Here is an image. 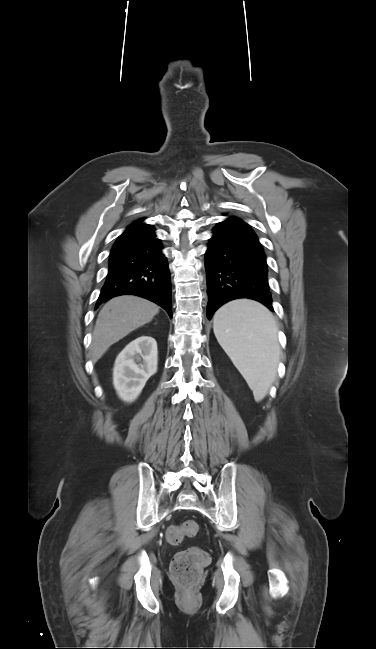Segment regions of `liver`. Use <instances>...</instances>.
Here are the masks:
<instances>
[{
    "mask_svg": "<svg viewBox=\"0 0 376 649\" xmlns=\"http://www.w3.org/2000/svg\"><path fill=\"white\" fill-rule=\"evenodd\" d=\"M158 312L157 305L133 295L108 301L99 312L94 327L91 343L93 362H97L111 345L150 322Z\"/></svg>",
    "mask_w": 376,
    "mask_h": 649,
    "instance_id": "6515ba94",
    "label": "liver"
}]
</instances>
